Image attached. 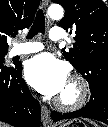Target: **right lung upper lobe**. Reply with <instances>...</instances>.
I'll return each instance as SVG.
<instances>
[{"label":"right lung upper lobe","mask_w":108,"mask_h":127,"mask_svg":"<svg viewBox=\"0 0 108 127\" xmlns=\"http://www.w3.org/2000/svg\"><path fill=\"white\" fill-rule=\"evenodd\" d=\"M40 0H0V50H7V35L28 28Z\"/></svg>","instance_id":"right-lung-upper-lobe-1"}]
</instances>
